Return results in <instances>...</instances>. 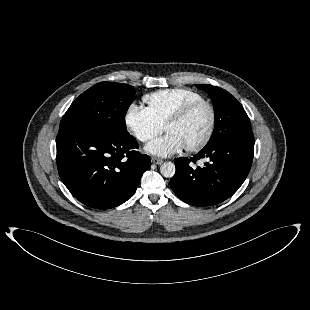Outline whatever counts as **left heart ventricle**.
<instances>
[{
	"instance_id": "b2bd125f",
	"label": "left heart ventricle",
	"mask_w": 310,
	"mask_h": 310,
	"mask_svg": "<svg viewBox=\"0 0 310 310\" xmlns=\"http://www.w3.org/2000/svg\"><path fill=\"white\" fill-rule=\"evenodd\" d=\"M209 111L202 106L192 112L185 120L180 123L168 126L167 133L176 135L184 147L197 143L206 133L209 125Z\"/></svg>"
}]
</instances>
